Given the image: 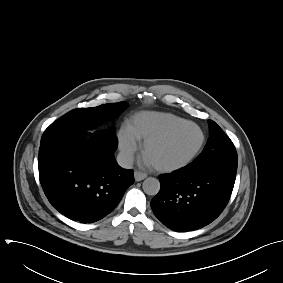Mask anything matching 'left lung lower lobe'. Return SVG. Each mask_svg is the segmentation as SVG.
Wrapping results in <instances>:
<instances>
[{
  "mask_svg": "<svg viewBox=\"0 0 283 283\" xmlns=\"http://www.w3.org/2000/svg\"><path fill=\"white\" fill-rule=\"evenodd\" d=\"M236 171L186 166L160 175L161 188L151 201L155 216L168 228L193 231L214 221L226 207Z\"/></svg>",
  "mask_w": 283,
  "mask_h": 283,
  "instance_id": "1",
  "label": "left lung lower lobe"
}]
</instances>
